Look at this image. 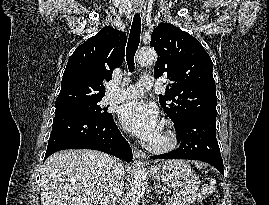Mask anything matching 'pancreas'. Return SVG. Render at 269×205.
I'll return each instance as SVG.
<instances>
[{"mask_svg": "<svg viewBox=\"0 0 269 205\" xmlns=\"http://www.w3.org/2000/svg\"><path fill=\"white\" fill-rule=\"evenodd\" d=\"M167 205H185V203L180 196L175 195L169 199V203Z\"/></svg>", "mask_w": 269, "mask_h": 205, "instance_id": "1", "label": "pancreas"}]
</instances>
